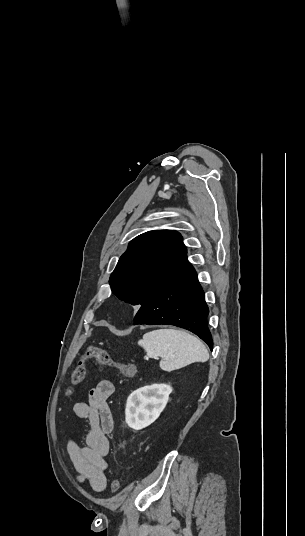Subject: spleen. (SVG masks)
<instances>
[{
  "label": "spleen",
  "mask_w": 305,
  "mask_h": 536,
  "mask_svg": "<svg viewBox=\"0 0 305 536\" xmlns=\"http://www.w3.org/2000/svg\"><path fill=\"white\" fill-rule=\"evenodd\" d=\"M138 346L145 350L148 358H162L160 368L164 372L209 360L208 350L201 340L183 330H153L144 334Z\"/></svg>",
  "instance_id": "1"
}]
</instances>
